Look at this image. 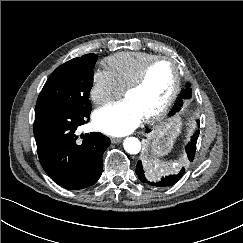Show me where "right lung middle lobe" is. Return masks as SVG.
<instances>
[{
	"label": "right lung middle lobe",
	"mask_w": 243,
	"mask_h": 243,
	"mask_svg": "<svg viewBox=\"0 0 243 243\" xmlns=\"http://www.w3.org/2000/svg\"><path fill=\"white\" fill-rule=\"evenodd\" d=\"M97 55L71 59L54 70L37 99V106L73 112L92 110L89 93L93 85V67Z\"/></svg>",
	"instance_id": "obj_1"
}]
</instances>
